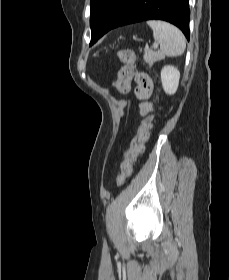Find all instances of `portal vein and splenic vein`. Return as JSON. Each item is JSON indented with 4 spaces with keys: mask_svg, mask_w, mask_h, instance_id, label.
Returning a JSON list of instances; mask_svg holds the SVG:
<instances>
[{
    "mask_svg": "<svg viewBox=\"0 0 229 280\" xmlns=\"http://www.w3.org/2000/svg\"><path fill=\"white\" fill-rule=\"evenodd\" d=\"M153 47H154V48H158V44H157V43H154V44H153Z\"/></svg>",
    "mask_w": 229,
    "mask_h": 280,
    "instance_id": "portal-vein-and-splenic-vein-1",
    "label": "portal vein and splenic vein"
}]
</instances>
